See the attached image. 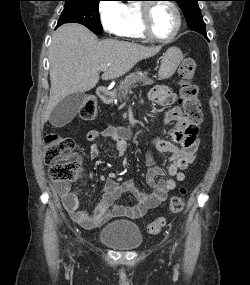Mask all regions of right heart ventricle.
<instances>
[{"label": "right heart ventricle", "mask_w": 250, "mask_h": 285, "mask_svg": "<svg viewBox=\"0 0 250 285\" xmlns=\"http://www.w3.org/2000/svg\"><path fill=\"white\" fill-rule=\"evenodd\" d=\"M121 36L137 40H146L141 27L139 5H127V20Z\"/></svg>", "instance_id": "e07e8e85"}]
</instances>
